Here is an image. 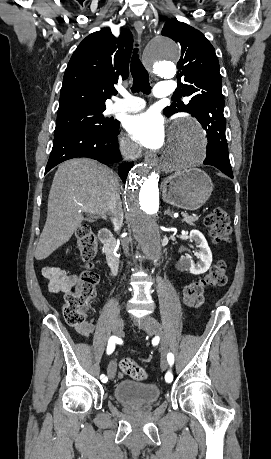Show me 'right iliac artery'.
I'll return each instance as SVG.
<instances>
[{
  "instance_id": "82829eb1",
  "label": "right iliac artery",
  "mask_w": 271,
  "mask_h": 459,
  "mask_svg": "<svg viewBox=\"0 0 271 459\" xmlns=\"http://www.w3.org/2000/svg\"><path fill=\"white\" fill-rule=\"evenodd\" d=\"M117 338L118 337H115V336L110 337L108 341V346H107V354H111L114 351L115 343L117 342ZM100 379L105 382L107 381V377L103 374L100 376Z\"/></svg>"
}]
</instances>
